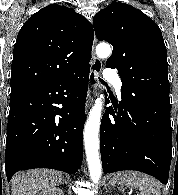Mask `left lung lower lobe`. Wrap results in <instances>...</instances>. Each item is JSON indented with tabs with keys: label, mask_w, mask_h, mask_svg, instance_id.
Returning a JSON list of instances; mask_svg holds the SVG:
<instances>
[{
	"label": "left lung lower lobe",
	"mask_w": 178,
	"mask_h": 195,
	"mask_svg": "<svg viewBox=\"0 0 178 195\" xmlns=\"http://www.w3.org/2000/svg\"><path fill=\"white\" fill-rule=\"evenodd\" d=\"M121 98L120 106L114 105L117 115L110 106L101 120L104 173L137 170L167 184L172 158L170 106L130 97L122 91Z\"/></svg>",
	"instance_id": "left-lung-lower-lobe-1"
}]
</instances>
